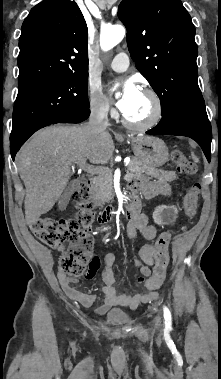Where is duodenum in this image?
<instances>
[{"label": "duodenum", "instance_id": "duodenum-1", "mask_svg": "<svg viewBox=\"0 0 221 379\" xmlns=\"http://www.w3.org/2000/svg\"><path fill=\"white\" fill-rule=\"evenodd\" d=\"M82 187L87 189V190H90V187H91V180L90 179H85L83 181V184H82ZM131 191L133 192L134 190L131 188ZM139 209H140V203L138 200H133L129 206L127 207V210H126V216L129 218L133 215H135L136 213L139 212ZM114 210L111 209V208H106L104 210H102L99 214H98V217H97V220L100 222V223H106L110 220L113 219L114 217Z\"/></svg>", "mask_w": 221, "mask_h": 379}]
</instances>
